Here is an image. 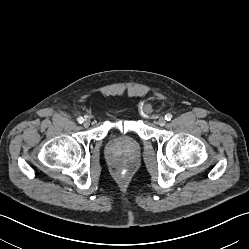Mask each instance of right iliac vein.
<instances>
[{"instance_id": "63e3f726", "label": "right iliac vein", "mask_w": 249, "mask_h": 249, "mask_svg": "<svg viewBox=\"0 0 249 249\" xmlns=\"http://www.w3.org/2000/svg\"><path fill=\"white\" fill-rule=\"evenodd\" d=\"M90 125V120L89 119H85L84 122H83V126L84 127H89Z\"/></svg>"}]
</instances>
